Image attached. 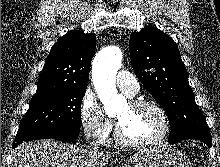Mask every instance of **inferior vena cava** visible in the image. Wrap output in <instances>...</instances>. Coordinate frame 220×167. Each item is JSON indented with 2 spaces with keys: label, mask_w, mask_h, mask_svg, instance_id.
<instances>
[{
  "label": "inferior vena cava",
  "mask_w": 220,
  "mask_h": 167,
  "mask_svg": "<svg viewBox=\"0 0 220 167\" xmlns=\"http://www.w3.org/2000/svg\"><path fill=\"white\" fill-rule=\"evenodd\" d=\"M87 141H89V135L87 136ZM88 148H91V149H93V150H98V144H96V143H90L89 144V146H88Z\"/></svg>",
  "instance_id": "1"
}]
</instances>
